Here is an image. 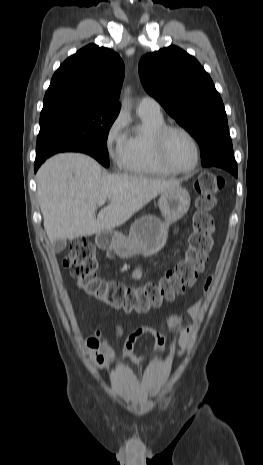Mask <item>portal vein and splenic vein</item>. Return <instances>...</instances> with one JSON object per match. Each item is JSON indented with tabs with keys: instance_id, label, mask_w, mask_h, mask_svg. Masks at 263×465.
Instances as JSON below:
<instances>
[{
	"instance_id": "1",
	"label": "portal vein and splenic vein",
	"mask_w": 263,
	"mask_h": 465,
	"mask_svg": "<svg viewBox=\"0 0 263 465\" xmlns=\"http://www.w3.org/2000/svg\"><path fill=\"white\" fill-rule=\"evenodd\" d=\"M106 200H101L99 203H98V206H102L103 204H105Z\"/></svg>"
}]
</instances>
